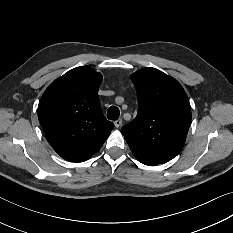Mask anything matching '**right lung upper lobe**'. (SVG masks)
Wrapping results in <instances>:
<instances>
[{
	"label": "right lung upper lobe",
	"mask_w": 233,
	"mask_h": 233,
	"mask_svg": "<svg viewBox=\"0 0 233 233\" xmlns=\"http://www.w3.org/2000/svg\"><path fill=\"white\" fill-rule=\"evenodd\" d=\"M101 82L100 73L77 67L55 80L39 102L38 118L47 141L67 161L91 158L114 127L101 110Z\"/></svg>",
	"instance_id": "right-lung-upper-lobe-1"
}]
</instances>
